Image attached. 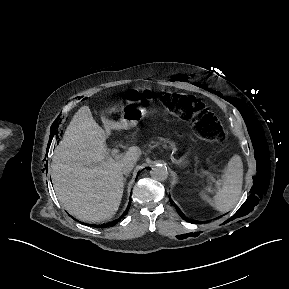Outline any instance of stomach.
<instances>
[{"mask_svg":"<svg viewBox=\"0 0 289 289\" xmlns=\"http://www.w3.org/2000/svg\"><path fill=\"white\" fill-rule=\"evenodd\" d=\"M146 110L142 107H123L121 110L120 124L124 129H129L135 126L139 120L144 116Z\"/></svg>","mask_w":289,"mask_h":289,"instance_id":"0dacf381","label":"stomach"}]
</instances>
